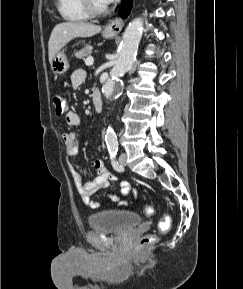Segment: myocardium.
I'll use <instances>...</instances> for the list:
<instances>
[{"instance_id":"obj_1","label":"myocardium","mask_w":243,"mask_h":289,"mask_svg":"<svg viewBox=\"0 0 243 289\" xmlns=\"http://www.w3.org/2000/svg\"><path fill=\"white\" fill-rule=\"evenodd\" d=\"M82 4L86 13L92 17L102 16L108 11L107 6L101 8L96 7L93 3V0H82Z\"/></svg>"}]
</instances>
